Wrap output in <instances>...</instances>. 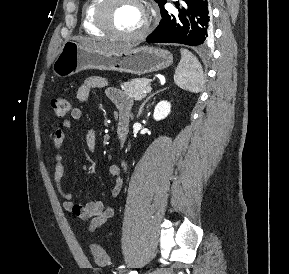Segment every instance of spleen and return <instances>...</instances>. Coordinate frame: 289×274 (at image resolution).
I'll use <instances>...</instances> for the list:
<instances>
[{
  "label": "spleen",
  "mask_w": 289,
  "mask_h": 274,
  "mask_svg": "<svg viewBox=\"0 0 289 274\" xmlns=\"http://www.w3.org/2000/svg\"><path fill=\"white\" fill-rule=\"evenodd\" d=\"M174 81L184 90L198 93L203 87V69L196 56L181 49V60L175 71Z\"/></svg>",
  "instance_id": "1"
}]
</instances>
